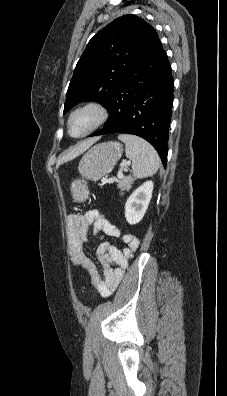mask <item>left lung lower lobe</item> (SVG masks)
I'll use <instances>...</instances> for the list:
<instances>
[{
  "instance_id": "1",
  "label": "left lung lower lobe",
  "mask_w": 227,
  "mask_h": 396,
  "mask_svg": "<svg viewBox=\"0 0 227 396\" xmlns=\"http://www.w3.org/2000/svg\"><path fill=\"white\" fill-rule=\"evenodd\" d=\"M173 86L171 66L159 41L124 78L106 106L108 121L90 136L129 133L142 137L166 167Z\"/></svg>"
}]
</instances>
